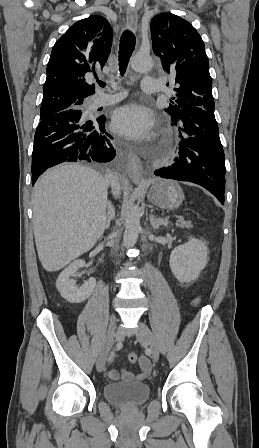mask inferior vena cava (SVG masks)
Returning a JSON list of instances; mask_svg holds the SVG:
<instances>
[{
    "label": "inferior vena cava",
    "mask_w": 259,
    "mask_h": 448,
    "mask_svg": "<svg viewBox=\"0 0 259 448\" xmlns=\"http://www.w3.org/2000/svg\"><path fill=\"white\" fill-rule=\"evenodd\" d=\"M106 180H109L111 184L112 194H114V196H119L121 188L119 184V178H117L116 174H107Z\"/></svg>",
    "instance_id": "obj_1"
}]
</instances>
